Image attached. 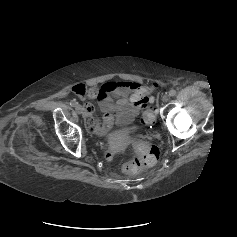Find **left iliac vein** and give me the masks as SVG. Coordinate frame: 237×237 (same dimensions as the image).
Wrapping results in <instances>:
<instances>
[{"mask_svg": "<svg viewBox=\"0 0 237 237\" xmlns=\"http://www.w3.org/2000/svg\"><path fill=\"white\" fill-rule=\"evenodd\" d=\"M162 100H163V102H167L168 100H169V95H164L163 97H162Z\"/></svg>", "mask_w": 237, "mask_h": 237, "instance_id": "4c4485c4", "label": "left iliac vein"}]
</instances>
